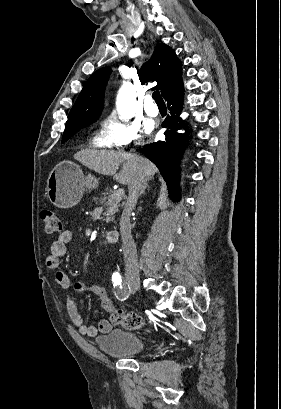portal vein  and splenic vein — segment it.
Instances as JSON below:
<instances>
[{
    "mask_svg": "<svg viewBox=\"0 0 281 409\" xmlns=\"http://www.w3.org/2000/svg\"><path fill=\"white\" fill-rule=\"evenodd\" d=\"M126 189L125 185L121 186V189H117L116 190V195L115 197L112 198V202L110 203L113 207H117L119 205V203H123L124 202V197L122 196L124 194V191Z\"/></svg>",
    "mask_w": 281,
    "mask_h": 409,
    "instance_id": "1",
    "label": "portal vein and splenic vein"
}]
</instances>
